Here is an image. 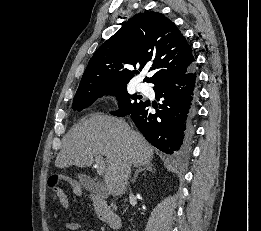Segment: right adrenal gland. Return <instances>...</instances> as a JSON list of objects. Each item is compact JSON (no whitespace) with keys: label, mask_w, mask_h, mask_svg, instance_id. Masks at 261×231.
Returning a JSON list of instances; mask_svg holds the SVG:
<instances>
[{"label":"right adrenal gland","mask_w":261,"mask_h":231,"mask_svg":"<svg viewBox=\"0 0 261 231\" xmlns=\"http://www.w3.org/2000/svg\"><path fill=\"white\" fill-rule=\"evenodd\" d=\"M152 166H153L152 163H148V164H146V165H143L142 167H139V168L136 170L135 174H134V178H133V180H132V183H133V184L135 183L138 174H139L140 172H142V171L155 172V169H153Z\"/></svg>","instance_id":"2a0ac1e0"}]
</instances>
